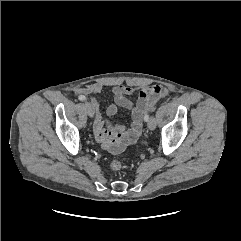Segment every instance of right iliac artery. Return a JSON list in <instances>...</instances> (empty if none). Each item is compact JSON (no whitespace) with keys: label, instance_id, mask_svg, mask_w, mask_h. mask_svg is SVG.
Masks as SVG:
<instances>
[{"label":"right iliac artery","instance_id":"82829eb1","mask_svg":"<svg viewBox=\"0 0 241 241\" xmlns=\"http://www.w3.org/2000/svg\"><path fill=\"white\" fill-rule=\"evenodd\" d=\"M79 100H80V101H84V100H86V97H84V96H79Z\"/></svg>","mask_w":241,"mask_h":241}]
</instances>
